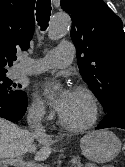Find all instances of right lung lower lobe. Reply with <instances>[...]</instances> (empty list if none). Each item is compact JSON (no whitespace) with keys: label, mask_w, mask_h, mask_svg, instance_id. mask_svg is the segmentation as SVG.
Wrapping results in <instances>:
<instances>
[{"label":"right lung lower lobe","mask_w":125,"mask_h":167,"mask_svg":"<svg viewBox=\"0 0 125 167\" xmlns=\"http://www.w3.org/2000/svg\"><path fill=\"white\" fill-rule=\"evenodd\" d=\"M27 109V96L12 100L0 94V117L12 122L19 121Z\"/></svg>","instance_id":"right-lung-lower-lobe-1"}]
</instances>
